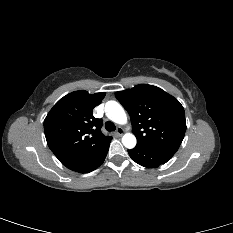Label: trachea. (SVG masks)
I'll return each instance as SVG.
<instances>
[{
  "label": "trachea",
  "mask_w": 233,
  "mask_h": 233,
  "mask_svg": "<svg viewBox=\"0 0 233 233\" xmlns=\"http://www.w3.org/2000/svg\"><path fill=\"white\" fill-rule=\"evenodd\" d=\"M105 128L107 131H114L116 129V126L114 125V123L107 121L105 123Z\"/></svg>",
  "instance_id": "trachea-1"
}]
</instances>
